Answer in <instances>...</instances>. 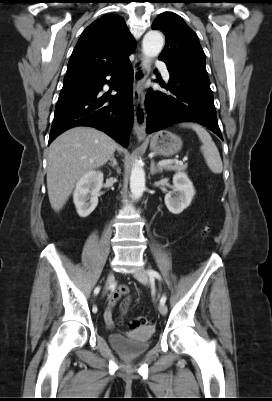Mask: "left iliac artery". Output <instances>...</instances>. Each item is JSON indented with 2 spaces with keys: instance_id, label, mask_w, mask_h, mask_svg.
Listing matches in <instances>:
<instances>
[{
  "instance_id": "44dca946",
  "label": "left iliac artery",
  "mask_w": 272,
  "mask_h": 401,
  "mask_svg": "<svg viewBox=\"0 0 272 401\" xmlns=\"http://www.w3.org/2000/svg\"><path fill=\"white\" fill-rule=\"evenodd\" d=\"M147 273H148V275H149V277H150L151 279H154V278H157V279H159V280L162 279V278H161V275H160L157 271H155V270H153V269L147 270ZM165 302H166V296L163 295V296L161 297V299H160V303H161V304H165Z\"/></svg>"
}]
</instances>
